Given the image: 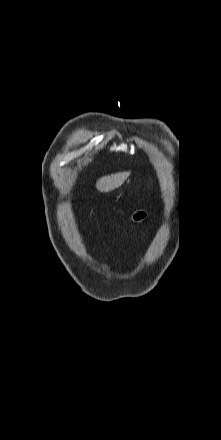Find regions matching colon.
I'll return each instance as SVG.
<instances>
[{
  "instance_id": "5ec220e1",
  "label": "colon",
  "mask_w": 221,
  "mask_h": 440,
  "mask_svg": "<svg viewBox=\"0 0 221 440\" xmlns=\"http://www.w3.org/2000/svg\"><path fill=\"white\" fill-rule=\"evenodd\" d=\"M143 217V213L142 212H138L136 215H135V218L136 219H141Z\"/></svg>"
}]
</instances>
